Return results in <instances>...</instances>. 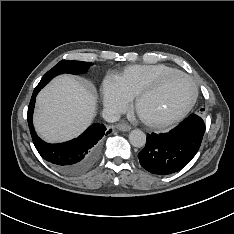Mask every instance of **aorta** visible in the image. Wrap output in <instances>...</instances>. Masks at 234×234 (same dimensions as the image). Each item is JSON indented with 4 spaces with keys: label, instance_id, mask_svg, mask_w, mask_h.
<instances>
[{
    "label": "aorta",
    "instance_id": "1",
    "mask_svg": "<svg viewBox=\"0 0 234 234\" xmlns=\"http://www.w3.org/2000/svg\"><path fill=\"white\" fill-rule=\"evenodd\" d=\"M129 141L134 147H143L146 144V135L139 129L132 130L129 133Z\"/></svg>",
    "mask_w": 234,
    "mask_h": 234
}]
</instances>
